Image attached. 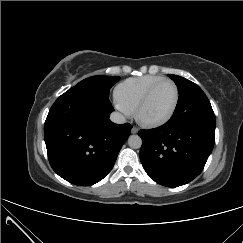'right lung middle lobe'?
<instances>
[{"instance_id": "right-lung-middle-lobe-1", "label": "right lung middle lobe", "mask_w": 243, "mask_h": 243, "mask_svg": "<svg viewBox=\"0 0 243 243\" xmlns=\"http://www.w3.org/2000/svg\"><path fill=\"white\" fill-rule=\"evenodd\" d=\"M120 79L119 76H92L80 81L71 89H85L96 92L97 94L109 98L110 88Z\"/></svg>"}]
</instances>
